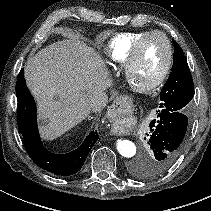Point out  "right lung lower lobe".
Listing matches in <instances>:
<instances>
[{"label": "right lung lower lobe", "instance_id": "obj_1", "mask_svg": "<svg viewBox=\"0 0 211 211\" xmlns=\"http://www.w3.org/2000/svg\"><path fill=\"white\" fill-rule=\"evenodd\" d=\"M16 96L18 102V127L23 136L24 146L39 167L61 176H69L78 172L83 166L91 148L99 135L91 131L83 144L68 154H53L47 151L40 140L36 121V105L24 79V70L18 75L16 83Z\"/></svg>", "mask_w": 211, "mask_h": 211}]
</instances>
